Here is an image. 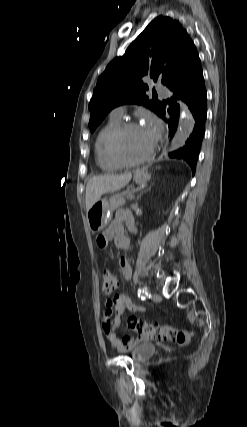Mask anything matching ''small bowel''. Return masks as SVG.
I'll list each match as a JSON object with an SVG mask.
<instances>
[{
  "label": "small bowel",
  "instance_id": "small-bowel-1",
  "mask_svg": "<svg viewBox=\"0 0 247 427\" xmlns=\"http://www.w3.org/2000/svg\"><path fill=\"white\" fill-rule=\"evenodd\" d=\"M123 222H127L130 228L136 231L130 214L123 210L118 211L109 227L97 237V245L99 248H106L108 242L111 240H113L119 248L127 249L129 247L130 241L124 234ZM119 266L123 277L127 280L130 279L132 276V268L128 261L125 258H120ZM143 310V307L132 302L124 295H117L107 301L103 312L102 329L106 339L114 350L126 352L131 350L138 343L146 340L141 336L134 339L129 334H125L122 338H118L116 335V329L120 326L121 316L125 311L136 314Z\"/></svg>",
  "mask_w": 247,
  "mask_h": 427
}]
</instances>
